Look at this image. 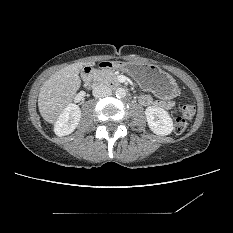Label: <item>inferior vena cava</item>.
<instances>
[{
	"label": "inferior vena cava",
	"mask_w": 233,
	"mask_h": 233,
	"mask_svg": "<svg viewBox=\"0 0 233 233\" xmlns=\"http://www.w3.org/2000/svg\"><path fill=\"white\" fill-rule=\"evenodd\" d=\"M112 94L111 89L106 85H98L93 89V96L95 98L107 97Z\"/></svg>",
	"instance_id": "1"
}]
</instances>
